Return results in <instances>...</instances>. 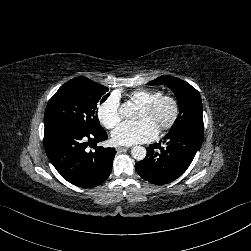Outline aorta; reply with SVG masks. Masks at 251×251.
I'll list each match as a JSON object with an SVG mask.
<instances>
[{
	"label": "aorta",
	"instance_id": "762f6f07",
	"mask_svg": "<svg viewBox=\"0 0 251 251\" xmlns=\"http://www.w3.org/2000/svg\"><path fill=\"white\" fill-rule=\"evenodd\" d=\"M133 105L126 103L121 106L120 113L121 115L125 117H131L133 115V111L131 109ZM131 155L133 156L134 159L136 160H143L146 156V149L143 146H133L131 149Z\"/></svg>",
	"mask_w": 251,
	"mask_h": 251
}]
</instances>
